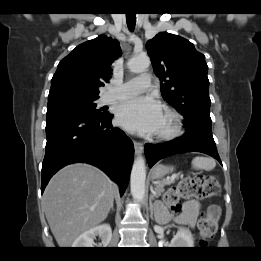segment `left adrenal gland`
I'll list each match as a JSON object with an SVG mask.
<instances>
[{
    "mask_svg": "<svg viewBox=\"0 0 261 261\" xmlns=\"http://www.w3.org/2000/svg\"><path fill=\"white\" fill-rule=\"evenodd\" d=\"M152 200H154V195L151 194V195H150V198H149L151 217L153 216V205H152Z\"/></svg>",
    "mask_w": 261,
    "mask_h": 261,
    "instance_id": "obj_1",
    "label": "left adrenal gland"
}]
</instances>
